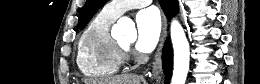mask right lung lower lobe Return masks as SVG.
Instances as JSON below:
<instances>
[{
    "label": "right lung lower lobe",
    "mask_w": 260,
    "mask_h": 84,
    "mask_svg": "<svg viewBox=\"0 0 260 84\" xmlns=\"http://www.w3.org/2000/svg\"><path fill=\"white\" fill-rule=\"evenodd\" d=\"M160 4L166 15L173 16L178 11L177 0H160ZM171 66H172V50L169 42L167 41L163 51V69L165 72L166 80L165 83H169L171 77Z\"/></svg>",
    "instance_id": "1"
}]
</instances>
